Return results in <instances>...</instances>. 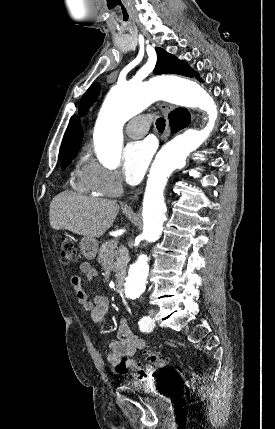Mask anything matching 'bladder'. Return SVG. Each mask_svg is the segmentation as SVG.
I'll list each match as a JSON object with an SVG mask.
<instances>
[{"instance_id": "bladder-1", "label": "bladder", "mask_w": 275, "mask_h": 429, "mask_svg": "<svg viewBox=\"0 0 275 429\" xmlns=\"http://www.w3.org/2000/svg\"><path fill=\"white\" fill-rule=\"evenodd\" d=\"M176 377L135 378L133 393H145L146 398H156L158 403H169L177 398Z\"/></svg>"}]
</instances>
